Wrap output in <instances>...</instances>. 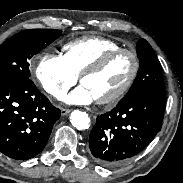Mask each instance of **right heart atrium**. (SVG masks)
Here are the masks:
<instances>
[{"mask_svg": "<svg viewBox=\"0 0 183 183\" xmlns=\"http://www.w3.org/2000/svg\"><path fill=\"white\" fill-rule=\"evenodd\" d=\"M36 77L43 90L59 100L78 80V76L68 67L63 55L48 52L37 57Z\"/></svg>", "mask_w": 183, "mask_h": 183, "instance_id": "d8ad5b80", "label": "right heart atrium"}]
</instances>
